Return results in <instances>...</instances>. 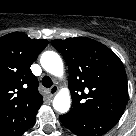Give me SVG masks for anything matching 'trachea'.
Listing matches in <instances>:
<instances>
[{
    "label": "trachea",
    "mask_w": 136,
    "mask_h": 136,
    "mask_svg": "<svg viewBox=\"0 0 136 136\" xmlns=\"http://www.w3.org/2000/svg\"><path fill=\"white\" fill-rule=\"evenodd\" d=\"M52 80L49 76H45L42 79V85L46 88H50L52 86Z\"/></svg>",
    "instance_id": "1"
}]
</instances>
